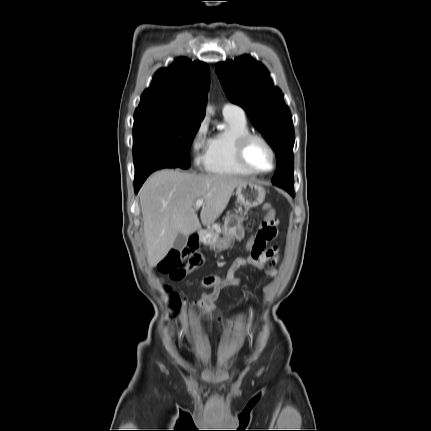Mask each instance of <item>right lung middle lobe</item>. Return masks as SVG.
I'll return each instance as SVG.
<instances>
[{
    "label": "right lung middle lobe",
    "mask_w": 431,
    "mask_h": 431,
    "mask_svg": "<svg viewBox=\"0 0 431 431\" xmlns=\"http://www.w3.org/2000/svg\"><path fill=\"white\" fill-rule=\"evenodd\" d=\"M200 122L166 117L134 118L133 158L135 169L154 158L169 160L180 168L190 165V147Z\"/></svg>",
    "instance_id": "dd1d6c3e"
}]
</instances>
